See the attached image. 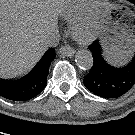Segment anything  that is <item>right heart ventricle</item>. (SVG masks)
<instances>
[{"label":"right heart ventricle","mask_w":135,"mask_h":135,"mask_svg":"<svg viewBox=\"0 0 135 135\" xmlns=\"http://www.w3.org/2000/svg\"><path fill=\"white\" fill-rule=\"evenodd\" d=\"M87 0H65L61 7V15L67 20L71 21L80 15L85 9Z\"/></svg>","instance_id":"e07e8e85"}]
</instances>
